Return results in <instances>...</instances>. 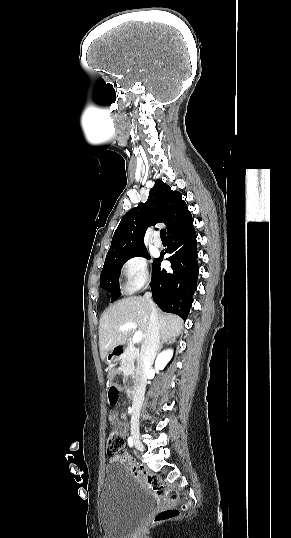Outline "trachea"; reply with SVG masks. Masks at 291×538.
Segmentation results:
<instances>
[{"label": "trachea", "instance_id": "trachea-1", "mask_svg": "<svg viewBox=\"0 0 291 538\" xmlns=\"http://www.w3.org/2000/svg\"><path fill=\"white\" fill-rule=\"evenodd\" d=\"M160 237H161V239H166V230L165 229H162L160 231Z\"/></svg>", "mask_w": 291, "mask_h": 538}]
</instances>
